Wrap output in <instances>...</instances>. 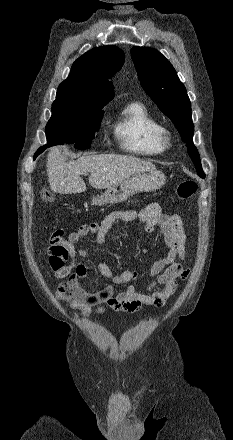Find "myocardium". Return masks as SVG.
I'll list each match as a JSON object with an SVG mask.
<instances>
[{"mask_svg": "<svg viewBox=\"0 0 233 440\" xmlns=\"http://www.w3.org/2000/svg\"><path fill=\"white\" fill-rule=\"evenodd\" d=\"M159 142L166 148L171 145V133L166 128H161L158 132Z\"/></svg>", "mask_w": 233, "mask_h": 440, "instance_id": "myocardium-1", "label": "myocardium"}]
</instances>
